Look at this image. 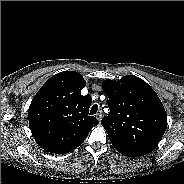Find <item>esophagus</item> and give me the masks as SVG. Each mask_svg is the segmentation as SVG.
Segmentation results:
<instances>
[{
  "label": "esophagus",
  "instance_id": "esophagus-1",
  "mask_svg": "<svg viewBox=\"0 0 184 184\" xmlns=\"http://www.w3.org/2000/svg\"><path fill=\"white\" fill-rule=\"evenodd\" d=\"M96 118L98 119V121L100 122L102 119V112H99L96 114Z\"/></svg>",
  "mask_w": 184,
  "mask_h": 184
}]
</instances>
